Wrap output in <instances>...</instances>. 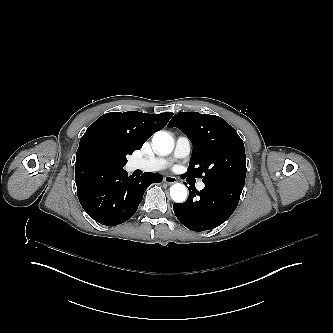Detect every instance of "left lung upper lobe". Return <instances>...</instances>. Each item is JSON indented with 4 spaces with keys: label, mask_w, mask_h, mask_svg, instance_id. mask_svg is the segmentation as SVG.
<instances>
[{
    "label": "left lung upper lobe",
    "mask_w": 333,
    "mask_h": 333,
    "mask_svg": "<svg viewBox=\"0 0 333 333\" xmlns=\"http://www.w3.org/2000/svg\"><path fill=\"white\" fill-rule=\"evenodd\" d=\"M168 127H177L191 140L193 151L185 177L244 185L246 155L235 129L223 118L198 112L176 114Z\"/></svg>",
    "instance_id": "left-lung-upper-lobe-1"
}]
</instances>
